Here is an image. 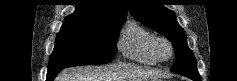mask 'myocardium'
I'll return each mask as SVG.
<instances>
[{"label":"myocardium","mask_w":237,"mask_h":81,"mask_svg":"<svg viewBox=\"0 0 237 81\" xmlns=\"http://www.w3.org/2000/svg\"><path fill=\"white\" fill-rule=\"evenodd\" d=\"M162 44L167 45V47L169 48L170 53L167 58H163L160 54V47ZM152 50L158 62H163V63L169 62L172 59L173 54H174V49H173L171 41L163 36H155L153 40V44H152Z\"/></svg>","instance_id":"1"}]
</instances>
